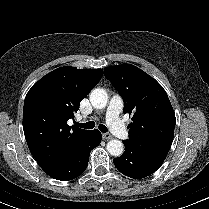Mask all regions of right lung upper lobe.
<instances>
[{
    "mask_svg": "<svg viewBox=\"0 0 209 209\" xmlns=\"http://www.w3.org/2000/svg\"><path fill=\"white\" fill-rule=\"evenodd\" d=\"M103 76L102 69L64 66L48 73L28 91L23 107L24 135L35 160L47 173L76 148L87 130L69 126L79 105Z\"/></svg>",
    "mask_w": 209,
    "mask_h": 209,
    "instance_id": "cb5924a9",
    "label": "right lung upper lobe"
}]
</instances>
